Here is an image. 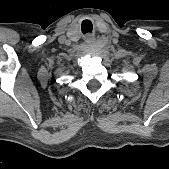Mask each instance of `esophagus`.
I'll use <instances>...</instances> for the list:
<instances>
[{
    "mask_svg": "<svg viewBox=\"0 0 169 169\" xmlns=\"http://www.w3.org/2000/svg\"><path fill=\"white\" fill-rule=\"evenodd\" d=\"M94 40H95V37H94V35H91V34H88L85 38V41L87 43H92V42H94Z\"/></svg>",
    "mask_w": 169,
    "mask_h": 169,
    "instance_id": "34e87169",
    "label": "esophagus"
}]
</instances>
